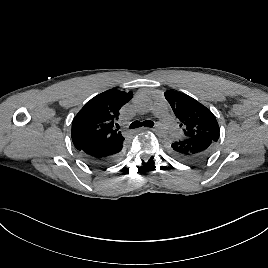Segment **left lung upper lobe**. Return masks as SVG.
<instances>
[{"instance_id":"1","label":"left lung upper lobe","mask_w":268,"mask_h":268,"mask_svg":"<svg viewBox=\"0 0 268 268\" xmlns=\"http://www.w3.org/2000/svg\"><path fill=\"white\" fill-rule=\"evenodd\" d=\"M166 100L183 127V138L205 137L217 142L220 129L213 113L192 97L177 91H166Z\"/></svg>"}]
</instances>
